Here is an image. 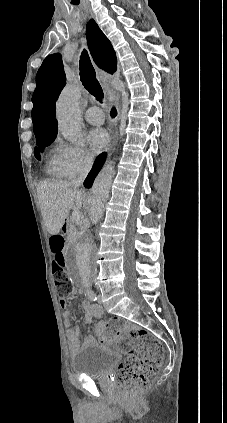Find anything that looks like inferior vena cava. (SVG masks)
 I'll list each match as a JSON object with an SVG mask.
<instances>
[{
    "label": "inferior vena cava",
    "mask_w": 227,
    "mask_h": 423,
    "mask_svg": "<svg viewBox=\"0 0 227 423\" xmlns=\"http://www.w3.org/2000/svg\"><path fill=\"white\" fill-rule=\"evenodd\" d=\"M93 160L94 158L93 156H91V154H84L83 162L81 166V172L77 180H72L71 182V186H73V188H80V186H82L88 172H90L92 168Z\"/></svg>",
    "instance_id": "602c4592"
}]
</instances>
